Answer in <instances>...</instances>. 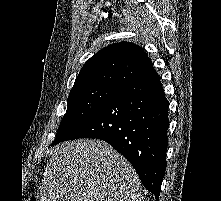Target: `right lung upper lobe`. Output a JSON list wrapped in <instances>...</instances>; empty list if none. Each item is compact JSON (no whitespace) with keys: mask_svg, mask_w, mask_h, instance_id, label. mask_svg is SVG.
<instances>
[{"mask_svg":"<svg viewBox=\"0 0 221 201\" xmlns=\"http://www.w3.org/2000/svg\"><path fill=\"white\" fill-rule=\"evenodd\" d=\"M153 69L141 47L129 42L115 43L85 63L72 90L96 86L121 89Z\"/></svg>","mask_w":221,"mask_h":201,"instance_id":"1","label":"right lung upper lobe"}]
</instances>
